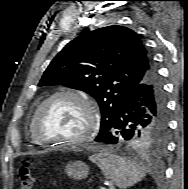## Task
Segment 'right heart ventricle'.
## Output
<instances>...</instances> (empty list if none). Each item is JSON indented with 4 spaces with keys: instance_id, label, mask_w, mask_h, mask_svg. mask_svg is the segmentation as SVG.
<instances>
[{
    "instance_id": "1",
    "label": "right heart ventricle",
    "mask_w": 188,
    "mask_h": 189,
    "mask_svg": "<svg viewBox=\"0 0 188 189\" xmlns=\"http://www.w3.org/2000/svg\"><path fill=\"white\" fill-rule=\"evenodd\" d=\"M34 115H35V113L32 115L31 120H30V124H29V132H30V136H31L32 139H33V136H32V132H31V126H32Z\"/></svg>"
}]
</instances>
